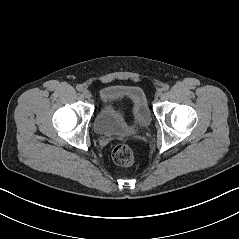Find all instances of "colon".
<instances>
[{"label":"colon","instance_id":"colon-1","mask_svg":"<svg viewBox=\"0 0 239 239\" xmlns=\"http://www.w3.org/2000/svg\"><path fill=\"white\" fill-rule=\"evenodd\" d=\"M112 159L120 166H130L134 163V153L132 149L125 144H117L112 149Z\"/></svg>","mask_w":239,"mask_h":239}]
</instances>
